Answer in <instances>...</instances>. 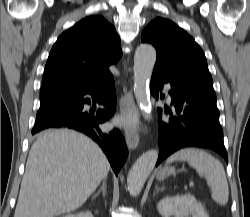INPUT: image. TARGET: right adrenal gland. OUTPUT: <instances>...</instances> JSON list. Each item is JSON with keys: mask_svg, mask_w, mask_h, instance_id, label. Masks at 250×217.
Listing matches in <instances>:
<instances>
[{"mask_svg": "<svg viewBox=\"0 0 250 217\" xmlns=\"http://www.w3.org/2000/svg\"><path fill=\"white\" fill-rule=\"evenodd\" d=\"M106 180H107V177L104 178L101 188L98 190V192L94 195L93 198H96L97 196H99V194L101 192L103 194V197H105V195H106Z\"/></svg>", "mask_w": 250, "mask_h": 217, "instance_id": "1", "label": "right adrenal gland"}]
</instances>
